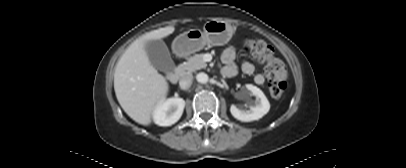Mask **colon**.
Returning <instances> with one entry per match:
<instances>
[{
  "label": "colon",
  "mask_w": 406,
  "mask_h": 168,
  "mask_svg": "<svg viewBox=\"0 0 406 168\" xmlns=\"http://www.w3.org/2000/svg\"><path fill=\"white\" fill-rule=\"evenodd\" d=\"M244 51L265 63L270 94L279 98L287 86V71L283 62L274 55L273 48L262 39H246Z\"/></svg>",
  "instance_id": "colon-1"
}]
</instances>
